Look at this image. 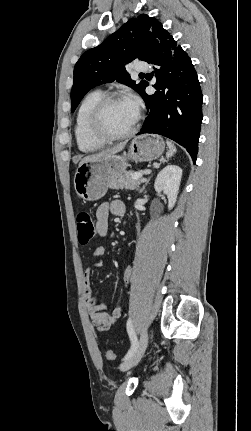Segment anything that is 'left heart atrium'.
<instances>
[{
	"mask_svg": "<svg viewBox=\"0 0 251 431\" xmlns=\"http://www.w3.org/2000/svg\"><path fill=\"white\" fill-rule=\"evenodd\" d=\"M126 102L131 105L136 111L139 110V102L135 97H128L127 99H125Z\"/></svg>",
	"mask_w": 251,
	"mask_h": 431,
	"instance_id": "left-heart-atrium-1",
	"label": "left heart atrium"
}]
</instances>
